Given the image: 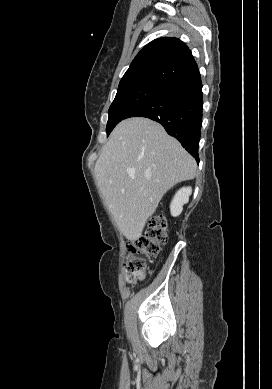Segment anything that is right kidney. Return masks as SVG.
Returning <instances> with one entry per match:
<instances>
[{
	"label": "right kidney",
	"instance_id": "right-kidney-1",
	"mask_svg": "<svg viewBox=\"0 0 272 389\" xmlns=\"http://www.w3.org/2000/svg\"><path fill=\"white\" fill-rule=\"evenodd\" d=\"M192 193L191 187H183L175 194L171 204L170 211L173 217H177L183 210V205L188 203L189 196Z\"/></svg>",
	"mask_w": 272,
	"mask_h": 389
}]
</instances>
